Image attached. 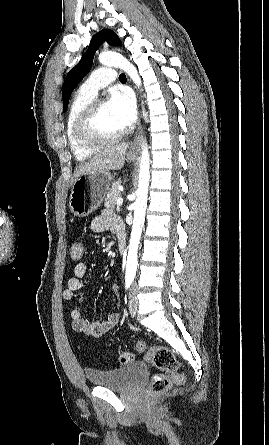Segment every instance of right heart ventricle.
Returning a JSON list of instances; mask_svg holds the SVG:
<instances>
[{
  "instance_id": "1",
  "label": "right heart ventricle",
  "mask_w": 269,
  "mask_h": 445,
  "mask_svg": "<svg viewBox=\"0 0 269 445\" xmlns=\"http://www.w3.org/2000/svg\"><path fill=\"white\" fill-rule=\"evenodd\" d=\"M93 99L94 96L88 95L80 90L73 98L69 107L66 137L70 151L77 161H85L98 151V148H86L82 146L74 135V124L78 115Z\"/></svg>"
}]
</instances>
